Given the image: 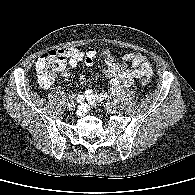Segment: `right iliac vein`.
Masks as SVG:
<instances>
[{
	"mask_svg": "<svg viewBox=\"0 0 195 195\" xmlns=\"http://www.w3.org/2000/svg\"><path fill=\"white\" fill-rule=\"evenodd\" d=\"M76 105L77 104L74 101H70L69 104H68V106H69L70 109H75L76 108Z\"/></svg>",
	"mask_w": 195,
	"mask_h": 195,
	"instance_id": "63e3f726",
	"label": "right iliac vein"
}]
</instances>
